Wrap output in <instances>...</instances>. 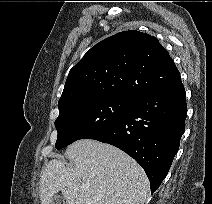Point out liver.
Returning a JSON list of instances; mask_svg holds the SVG:
<instances>
[{"mask_svg":"<svg viewBox=\"0 0 212 204\" xmlns=\"http://www.w3.org/2000/svg\"><path fill=\"white\" fill-rule=\"evenodd\" d=\"M65 156L73 167L52 159L42 170L41 204H51L59 191L66 204H144L148 178L142 167L120 149L81 139L67 147Z\"/></svg>","mask_w":212,"mask_h":204,"instance_id":"1","label":"liver"}]
</instances>
